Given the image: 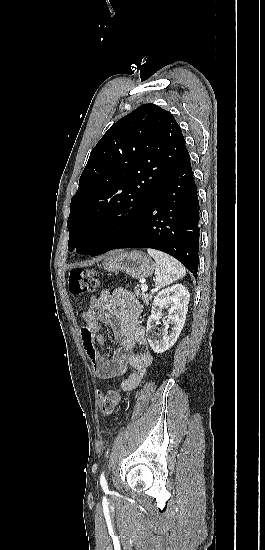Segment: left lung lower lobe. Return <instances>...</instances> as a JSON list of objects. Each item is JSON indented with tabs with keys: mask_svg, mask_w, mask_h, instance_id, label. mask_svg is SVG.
<instances>
[{
	"mask_svg": "<svg viewBox=\"0 0 265 550\" xmlns=\"http://www.w3.org/2000/svg\"><path fill=\"white\" fill-rule=\"evenodd\" d=\"M199 210L187 151L134 225L97 255L118 248H153L178 259L196 277L199 264Z\"/></svg>",
	"mask_w": 265,
	"mask_h": 550,
	"instance_id": "1",
	"label": "left lung lower lobe"
}]
</instances>
